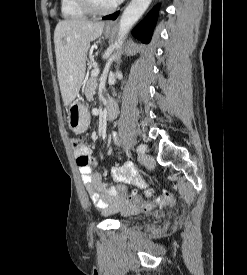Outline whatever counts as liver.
<instances>
[{
	"label": "liver",
	"mask_w": 247,
	"mask_h": 275,
	"mask_svg": "<svg viewBox=\"0 0 247 275\" xmlns=\"http://www.w3.org/2000/svg\"><path fill=\"white\" fill-rule=\"evenodd\" d=\"M104 26V22L84 19L62 20L56 25L54 44L57 75L65 106H69L79 93L90 42L102 35Z\"/></svg>",
	"instance_id": "1"
}]
</instances>
